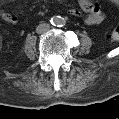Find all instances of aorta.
Listing matches in <instances>:
<instances>
[{
	"label": "aorta",
	"instance_id": "aorta-1",
	"mask_svg": "<svg viewBox=\"0 0 119 119\" xmlns=\"http://www.w3.org/2000/svg\"><path fill=\"white\" fill-rule=\"evenodd\" d=\"M64 18L63 17H60V16H56V17H54L53 19H52V24L54 25V26H63V24H64Z\"/></svg>",
	"mask_w": 119,
	"mask_h": 119
}]
</instances>
